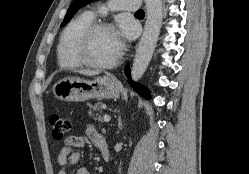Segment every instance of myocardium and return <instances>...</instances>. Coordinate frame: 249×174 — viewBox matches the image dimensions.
<instances>
[{"label":"myocardium","mask_w":249,"mask_h":174,"mask_svg":"<svg viewBox=\"0 0 249 174\" xmlns=\"http://www.w3.org/2000/svg\"><path fill=\"white\" fill-rule=\"evenodd\" d=\"M99 31H115V28L113 25L109 23H103V22L92 23L81 34L77 42L75 52L79 61L83 65L93 69H108L115 66L116 63L118 62L122 52V44L119 42L118 49L114 57L110 61L105 63H96L91 61L87 56L88 45L92 36Z\"/></svg>","instance_id":"f54148a6"}]
</instances>
